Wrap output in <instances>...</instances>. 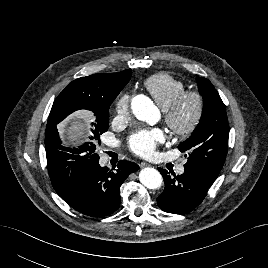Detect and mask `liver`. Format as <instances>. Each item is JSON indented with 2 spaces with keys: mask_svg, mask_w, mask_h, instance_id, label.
Here are the masks:
<instances>
[{
  "mask_svg": "<svg viewBox=\"0 0 268 268\" xmlns=\"http://www.w3.org/2000/svg\"><path fill=\"white\" fill-rule=\"evenodd\" d=\"M59 132L65 142L80 143L81 139H87V115L78 113L70 117L59 126Z\"/></svg>",
  "mask_w": 268,
  "mask_h": 268,
  "instance_id": "1",
  "label": "liver"
}]
</instances>
